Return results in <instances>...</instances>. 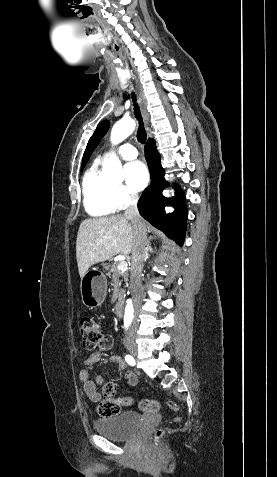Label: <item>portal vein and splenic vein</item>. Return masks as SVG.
Instances as JSON below:
<instances>
[{
    "instance_id": "1",
    "label": "portal vein and splenic vein",
    "mask_w": 277,
    "mask_h": 477,
    "mask_svg": "<svg viewBox=\"0 0 277 477\" xmlns=\"http://www.w3.org/2000/svg\"><path fill=\"white\" fill-rule=\"evenodd\" d=\"M118 270H120L121 272H124L127 270V262L126 261H121L119 264H118Z\"/></svg>"
}]
</instances>
